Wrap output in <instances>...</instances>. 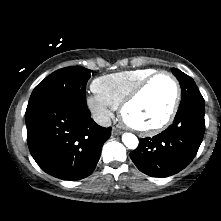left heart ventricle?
I'll list each match as a JSON object with an SVG mask.
<instances>
[{
  "mask_svg": "<svg viewBox=\"0 0 221 221\" xmlns=\"http://www.w3.org/2000/svg\"><path fill=\"white\" fill-rule=\"evenodd\" d=\"M174 96L175 88L170 78L159 76L126 109V119L136 127H152L167 116Z\"/></svg>",
  "mask_w": 221,
  "mask_h": 221,
  "instance_id": "b2bd125f",
  "label": "left heart ventricle"
}]
</instances>
